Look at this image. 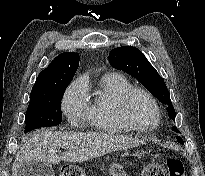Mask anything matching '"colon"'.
Segmentation results:
<instances>
[{
  "mask_svg": "<svg viewBox=\"0 0 205 176\" xmlns=\"http://www.w3.org/2000/svg\"><path fill=\"white\" fill-rule=\"evenodd\" d=\"M167 170H164L158 164H151L143 169L144 176H184V167L182 162L175 157H170L166 161ZM110 172L113 176H122L123 167L115 162L110 165ZM59 176H84L81 167L73 164L63 165Z\"/></svg>",
  "mask_w": 205,
  "mask_h": 176,
  "instance_id": "1",
  "label": "colon"
}]
</instances>
